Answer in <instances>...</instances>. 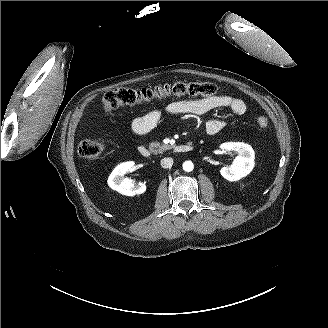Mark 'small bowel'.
<instances>
[{
	"label": "small bowel",
	"instance_id": "c3829d8e",
	"mask_svg": "<svg viewBox=\"0 0 328 328\" xmlns=\"http://www.w3.org/2000/svg\"><path fill=\"white\" fill-rule=\"evenodd\" d=\"M219 108H228L237 115H242L246 112V104L242 99L228 95L187 98L172 102L163 110H154L134 118L131 122V131L137 136L145 135L157 126L165 114L201 115ZM225 125L223 120L211 119L206 123L205 129L208 135H215Z\"/></svg>",
	"mask_w": 328,
	"mask_h": 328
}]
</instances>
